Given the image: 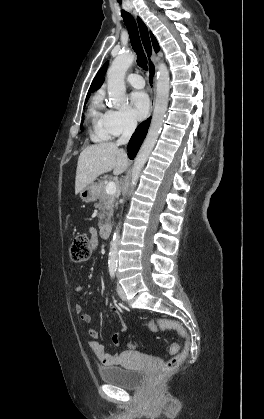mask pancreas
<instances>
[{
	"label": "pancreas",
	"mask_w": 264,
	"mask_h": 419,
	"mask_svg": "<svg viewBox=\"0 0 264 419\" xmlns=\"http://www.w3.org/2000/svg\"><path fill=\"white\" fill-rule=\"evenodd\" d=\"M107 183L102 180L99 182V185L97 187L98 191V199L99 202L96 204V208H98L101 213L99 214V226H102L104 223L109 222L111 219V216L113 215V207L115 199L118 197V194H112L109 195L106 193Z\"/></svg>",
	"instance_id": "obj_1"
}]
</instances>
